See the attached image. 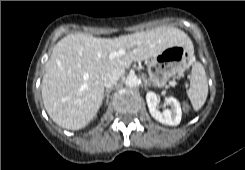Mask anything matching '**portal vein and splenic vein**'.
Segmentation results:
<instances>
[{
    "mask_svg": "<svg viewBox=\"0 0 245 170\" xmlns=\"http://www.w3.org/2000/svg\"><path fill=\"white\" fill-rule=\"evenodd\" d=\"M125 54V50L124 49H120L119 51H114V52H111L109 54V58L110 59H113V58H118V57H121Z\"/></svg>",
    "mask_w": 245,
    "mask_h": 170,
    "instance_id": "portal-vein-and-splenic-vein-1",
    "label": "portal vein and splenic vein"
}]
</instances>
